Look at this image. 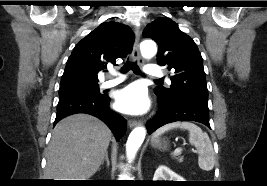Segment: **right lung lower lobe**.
<instances>
[{
    "label": "right lung lower lobe",
    "instance_id": "right-lung-lower-lobe-1",
    "mask_svg": "<svg viewBox=\"0 0 267 186\" xmlns=\"http://www.w3.org/2000/svg\"><path fill=\"white\" fill-rule=\"evenodd\" d=\"M109 103L110 98L106 95L95 96L81 92L62 95L57 105L54 125L67 116L86 113L106 123L119 140L126 132L127 122L121 115L110 109Z\"/></svg>",
    "mask_w": 267,
    "mask_h": 186
}]
</instances>
